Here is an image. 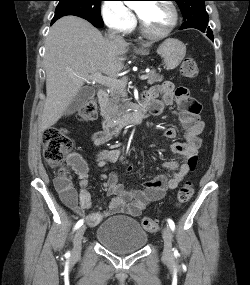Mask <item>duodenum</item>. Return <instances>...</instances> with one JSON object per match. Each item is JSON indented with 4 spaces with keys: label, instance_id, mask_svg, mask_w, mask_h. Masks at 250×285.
Returning <instances> with one entry per match:
<instances>
[{
    "label": "duodenum",
    "instance_id": "410a0bca",
    "mask_svg": "<svg viewBox=\"0 0 250 285\" xmlns=\"http://www.w3.org/2000/svg\"><path fill=\"white\" fill-rule=\"evenodd\" d=\"M108 93L105 90L98 91V100L104 105L107 102ZM145 114L144 107L132 110L118 118H106L103 123L104 131L109 134H115L123 127L132 124H139L143 121Z\"/></svg>",
    "mask_w": 250,
    "mask_h": 285
}]
</instances>
